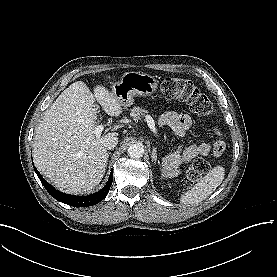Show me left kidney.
I'll return each instance as SVG.
<instances>
[{
	"label": "left kidney",
	"mask_w": 277,
	"mask_h": 277,
	"mask_svg": "<svg viewBox=\"0 0 277 277\" xmlns=\"http://www.w3.org/2000/svg\"><path fill=\"white\" fill-rule=\"evenodd\" d=\"M163 166H165V165H163ZM162 172H163V176H170L172 174L171 171L166 170V167H163Z\"/></svg>",
	"instance_id": "obj_1"
}]
</instances>
